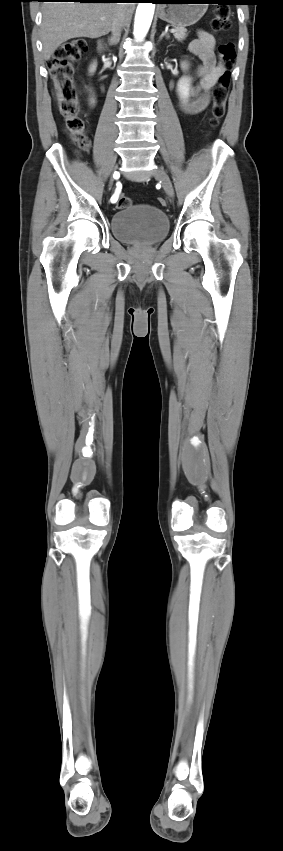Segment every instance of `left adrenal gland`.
I'll list each match as a JSON object with an SVG mask.
<instances>
[{"label": "left adrenal gland", "mask_w": 283, "mask_h": 851, "mask_svg": "<svg viewBox=\"0 0 283 851\" xmlns=\"http://www.w3.org/2000/svg\"><path fill=\"white\" fill-rule=\"evenodd\" d=\"M164 36H165L166 38H169V34H168L166 31H163V32H162V34L160 35V40H161Z\"/></svg>", "instance_id": "left-adrenal-gland-1"}]
</instances>
